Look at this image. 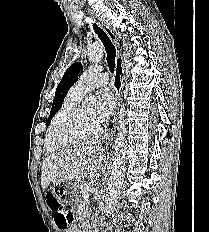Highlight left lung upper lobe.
Here are the masks:
<instances>
[{"mask_svg":"<svg viewBox=\"0 0 209 232\" xmlns=\"http://www.w3.org/2000/svg\"><path fill=\"white\" fill-rule=\"evenodd\" d=\"M83 69V66L81 63H74L72 64L65 74L62 77V80L57 86L55 97L53 100L52 108L50 111V115L48 120H51L53 116L56 114V112L60 109L62 106V103L64 101V98L68 92V90L74 85V83L78 79V75L80 71Z\"/></svg>","mask_w":209,"mask_h":232,"instance_id":"obj_1","label":"left lung upper lobe"}]
</instances>
